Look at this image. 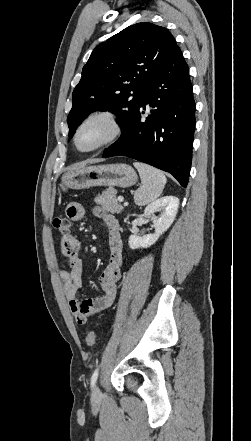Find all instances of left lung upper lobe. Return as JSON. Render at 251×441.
Returning a JSON list of instances; mask_svg holds the SVG:
<instances>
[{"instance_id": "obj_1", "label": "left lung upper lobe", "mask_w": 251, "mask_h": 441, "mask_svg": "<svg viewBox=\"0 0 251 441\" xmlns=\"http://www.w3.org/2000/svg\"><path fill=\"white\" fill-rule=\"evenodd\" d=\"M176 46L166 28L148 22L131 25L97 46L72 94L68 136L98 110L117 115L124 129Z\"/></svg>"}]
</instances>
